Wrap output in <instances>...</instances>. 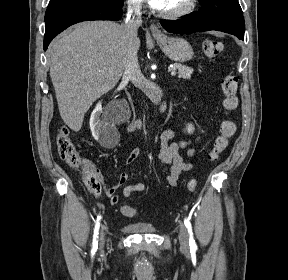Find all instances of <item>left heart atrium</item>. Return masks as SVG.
Returning a JSON list of instances; mask_svg holds the SVG:
<instances>
[{"mask_svg": "<svg viewBox=\"0 0 288 280\" xmlns=\"http://www.w3.org/2000/svg\"><path fill=\"white\" fill-rule=\"evenodd\" d=\"M149 4L156 8V9H162L166 3V0H148Z\"/></svg>", "mask_w": 288, "mask_h": 280, "instance_id": "obj_1", "label": "left heart atrium"}]
</instances>
